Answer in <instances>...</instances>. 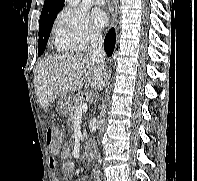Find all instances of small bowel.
I'll return each instance as SVG.
<instances>
[{
	"label": "small bowel",
	"instance_id": "obj_1",
	"mask_svg": "<svg viewBox=\"0 0 197 181\" xmlns=\"http://www.w3.org/2000/svg\"><path fill=\"white\" fill-rule=\"evenodd\" d=\"M59 155L60 158L63 160L61 164V175L64 179H71L74 176L75 172V165L70 156V149L68 146L64 145L61 150L57 153H53L50 151L49 155V164L52 170H55L58 162L56 156ZM52 181H58V176L54 172L52 174Z\"/></svg>",
	"mask_w": 197,
	"mask_h": 181
}]
</instances>
